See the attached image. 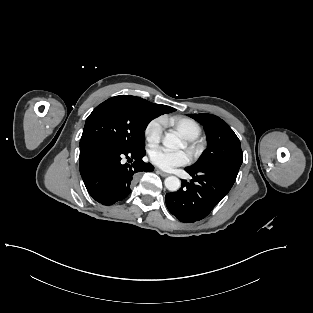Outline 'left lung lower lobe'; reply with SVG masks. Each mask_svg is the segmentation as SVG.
<instances>
[{
	"label": "left lung lower lobe",
	"mask_w": 313,
	"mask_h": 313,
	"mask_svg": "<svg viewBox=\"0 0 313 313\" xmlns=\"http://www.w3.org/2000/svg\"><path fill=\"white\" fill-rule=\"evenodd\" d=\"M192 180L182 181L177 192L167 193L165 201L171 214L181 222L192 223L205 218L233 186L239 168L213 166L185 168Z\"/></svg>",
	"instance_id": "obj_1"
}]
</instances>
